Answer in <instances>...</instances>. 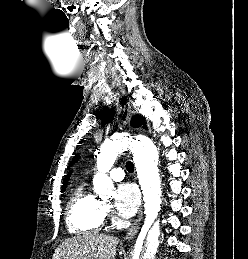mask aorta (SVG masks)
Instances as JSON below:
<instances>
[{
    "label": "aorta",
    "instance_id": "obj_1",
    "mask_svg": "<svg viewBox=\"0 0 248 259\" xmlns=\"http://www.w3.org/2000/svg\"><path fill=\"white\" fill-rule=\"evenodd\" d=\"M130 149L136 166L139 184L143 193L145 222L136 243L133 259H155L159 246L160 227L156 221L148 230L145 249L142 252V234L154 222L161 209V186L157 162L159 154L154 143L147 137L132 139L125 135L114 136L104 142L97 157L98 173L93 178L94 191L100 196L109 195L113 182L106 174L113 166L118 154Z\"/></svg>",
    "mask_w": 248,
    "mask_h": 259
}]
</instances>
